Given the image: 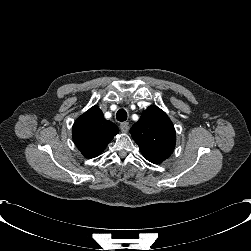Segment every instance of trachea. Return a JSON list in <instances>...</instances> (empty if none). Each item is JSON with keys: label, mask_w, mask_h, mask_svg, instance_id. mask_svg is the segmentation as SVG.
I'll list each match as a JSON object with an SVG mask.
<instances>
[{"label": "trachea", "mask_w": 251, "mask_h": 251, "mask_svg": "<svg viewBox=\"0 0 251 251\" xmlns=\"http://www.w3.org/2000/svg\"><path fill=\"white\" fill-rule=\"evenodd\" d=\"M116 118L120 122L127 120V112L124 109H119L116 113Z\"/></svg>", "instance_id": "3493384b"}]
</instances>
